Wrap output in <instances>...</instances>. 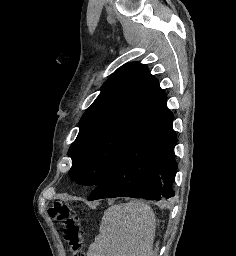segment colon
I'll list each match as a JSON object with an SVG mask.
<instances>
[{"label":"colon","mask_w":236,"mask_h":256,"mask_svg":"<svg viewBox=\"0 0 236 256\" xmlns=\"http://www.w3.org/2000/svg\"><path fill=\"white\" fill-rule=\"evenodd\" d=\"M48 215L63 226V237L68 243L72 256H85L79 215L69 204L55 200L48 208Z\"/></svg>","instance_id":"colon-1"}]
</instances>
